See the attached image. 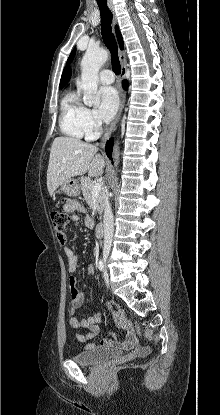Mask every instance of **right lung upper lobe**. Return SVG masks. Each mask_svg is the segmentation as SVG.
Here are the masks:
<instances>
[{"label":"right lung upper lobe","mask_w":220,"mask_h":415,"mask_svg":"<svg viewBox=\"0 0 220 415\" xmlns=\"http://www.w3.org/2000/svg\"><path fill=\"white\" fill-rule=\"evenodd\" d=\"M116 35H117V39L120 45V48L123 49L124 45H123V39L121 36L120 31L118 30V28L116 27ZM71 76V69L70 67H65L62 73V77H61V81H60V88L63 87L70 79Z\"/></svg>","instance_id":"cb5924a9"}]
</instances>
